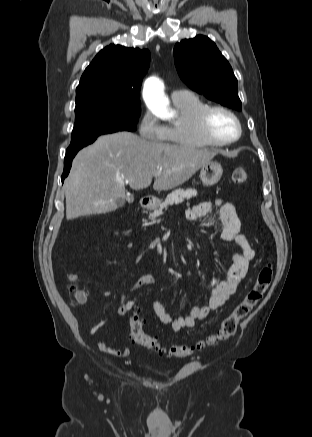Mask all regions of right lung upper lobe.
Masks as SVG:
<instances>
[{"instance_id":"right-lung-upper-lobe-1","label":"right lung upper lobe","mask_w":312,"mask_h":437,"mask_svg":"<svg viewBox=\"0 0 312 437\" xmlns=\"http://www.w3.org/2000/svg\"><path fill=\"white\" fill-rule=\"evenodd\" d=\"M149 62V50L107 46L84 71L76 88V107L139 104L141 82Z\"/></svg>"}]
</instances>
